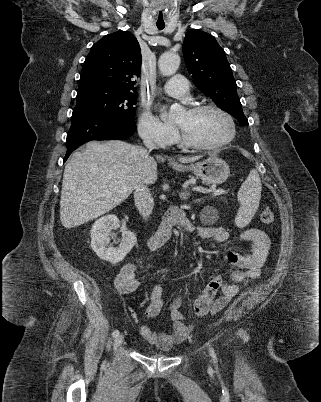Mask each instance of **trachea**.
<instances>
[{"mask_svg": "<svg viewBox=\"0 0 321 402\" xmlns=\"http://www.w3.org/2000/svg\"><path fill=\"white\" fill-rule=\"evenodd\" d=\"M159 30H163L165 28V24H156Z\"/></svg>", "mask_w": 321, "mask_h": 402, "instance_id": "trachea-1", "label": "trachea"}]
</instances>
